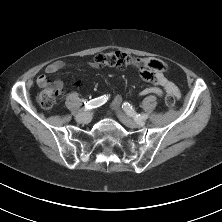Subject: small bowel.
Listing matches in <instances>:
<instances>
[{
	"instance_id": "small-bowel-1",
	"label": "small bowel",
	"mask_w": 222,
	"mask_h": 222,
	"mask_svg": "<svg viewBox=\"0 0 222 222\" xmlns=\"http://www.w3.org/2000/svg\"><path fill=\"white\" fill-rule=\"evenodd\" d=\"M66 66L63 61H55L50 63L46 67L47 74H57ZM90 66L94 69H98L99 67L95 63H90ZM138 77L140 79H144L146 82L153 84L151 87H147L140 92V95H150L155 94L159 97L162 96V89L166 91V93L173 95L176 99H179L181 96L179 88L171 81H169L165 75L161 72L155 73L153 71H148L146 68H141L138 71ZM45 76H40L38 78V84L41 86V82L44 80ZM60 85L63 87L62 82ZM122 99L120 96H116L112 102L113 106H119Z\"/></svg>"
}]
</instances>
